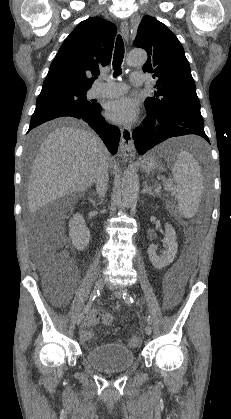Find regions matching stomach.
<instances>
[{
    "instance_id": "0dacf381",
    "label": "stomach",
    "mask_w": 231,
    "mask_h": 419,
    "mask_svg": "<svg viewBox=\"0 0 231 419\" xmlns=\"http://www.w3.org/2000/svg\"><path fill=\"white\" fill-rule=\"evenodd\" d=\"M158 166V161L153 153L146 154L141 160V167L146 172L154 171Z\"/></svg>"
}]
</instances>
